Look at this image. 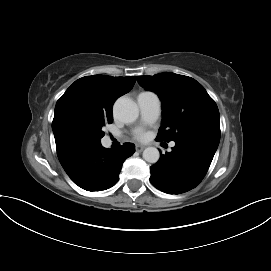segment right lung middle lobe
I'll list each match as a JSON object with an SVG mask.
<instances>
[{
	"mask_svg": "<svg viewBox=\"0 0 271 271\" xmlns=\"http://www.w3.org/2000/svg\"><path fill=\"white\" fill-rule=\"evenodd\" d=\"M112 122V113L75 108L63 116L61 131L71 142L95 149L101 145L100 139L105 134L102 127Z\"/></svg>",
	"mask_w": 271,
	"mask_h": 271,
	"instance_id": "right-lung-middle-lobe-1",
	"label": "right lung middle lobe"
}]
</instances>
